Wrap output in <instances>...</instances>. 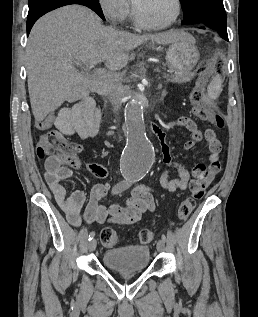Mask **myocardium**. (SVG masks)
Wrapping results in <instances>:
<instances>
[{
	"instance_id": "f54148a6",
	"label": "myocardium",
	"mask_w": 258,
	"mask_h": 317,
	"mask_svg": "<svg viewBox=\"0 0 258 317\" xmlns=\"http://www.w3.org/2000/svg\"><path fill=\"white\" fill-rule=\"evenodd\" d=\"M151 1H153V0H139L134 4V21L138 27H140L146 31H149V32H155V31H161V30L167 29L177 21L179 15H180V12H181V4H180L179 0H171L175 4V8H176L174 17L169 22H167L161 26L153 27V28L145 27L142 24L141 19H140V9L144 3L151 2Z\"/></svg>"
}]
</instances>
